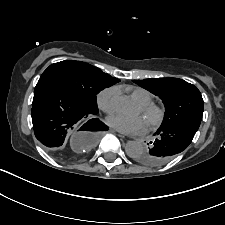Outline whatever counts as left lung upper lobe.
Listing matches in <instances>:
<instances>
[{
  "label": "left lung upper lobe",
  "mask_w": 225,
  "mask_h": 225,
  "mask_svg": "<svg viewBox=\"0 0 225 225\" xmlns=\"http://www.w3.org/2000/svg\"><path fill=\"white\" fill-rule=\"evenodd\" d=\"M133 82L163 101L166 112L159 129L189 119L202 120L204 102L200 91L194 85L178 78H152ZM145 159V151L136 157L137 161Z\"/></svg>",
  "instance_id": "1"
}]
</instances>
